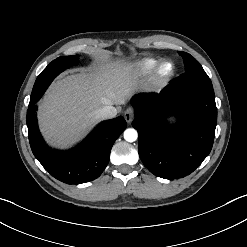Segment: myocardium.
Masks as SVG:
<instances>
[{
	"label": "myocardium",
	"instance_id": "obj_1",
	"mask_svg": "<svg viewBox=\"0 0 247 247\" xmlns=\"http://www.w3.org/2000/svg\"><path fill=\"white\" fill-rule=\"evenodd\" d=\"M166 64L171 65V70L169 72H164V66ZM176 73V65L173 61L165 59L159 62L154 70V79L158 83H165L173 78Z\"/></svg>",
	"mask_w": 247,
	"mask_h": 247
}]
</instances>
